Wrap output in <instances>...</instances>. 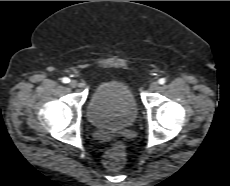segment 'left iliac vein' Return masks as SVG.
I'll list each match as a JSON object with an SVG mask.
<instances>
[{
  "instance_id": "4c4485c4",
  "label": "left iliac vein",
  "mask_w": 230,
  "mask_h": 186,
  "mask_svg": "<svg viewBox=\"0 0 230 186\" xmlns=\"http://www.w3.org/2000/svg\"><path fill=\"white\" fill-rule=\"evenodd\" d=\"M158 87H159V84L156 81L152 82L149 86L150 90H156Z\"/></svg>"
}]
</instances>
